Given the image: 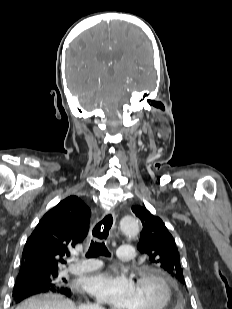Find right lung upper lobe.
Masks as SVG:
<instances>
[{"label":"right lung upper lobe","instance_id":"1","mask_svg":"<svg viewBox=\"0 0 232 309\" xmlns=\"http://www.w3.org/2000/svg\"><path fill=\"white\" fill-rule=\"evenodd\" d=\"M90 209L77 196H70L49 210L26 241L21 268L31 273L57 270L75 247L87 236Z\"/></svg>","mask_w":232,"mask_h":309}]
</instances>
